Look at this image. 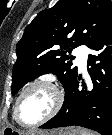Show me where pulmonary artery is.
<instances>
[{
    "mask_svg": "<svg viewBox=\"0 0 112 135\" xmlns=\"http://www.w3.org/2000/svg\"><path fill=\"white\" fill-rule=\"evenodd\" d=\"M89 49L86 46H81L76 52V62L81 70H85Z\"/></svg>",
    "mask_w": 112,
    "mask_h": 135,
    "instance_id": "e3ab8cb5",
    "label": "pulmonary artery"
}]
</instances>
